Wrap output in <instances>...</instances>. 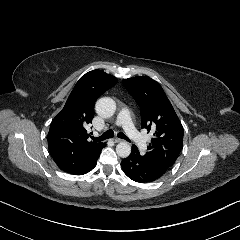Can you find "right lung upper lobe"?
<instances>
[{
    "instance_id": "right-lung-upper-lobe-1",
    "label": "right lung upper lobe",
    "mask_w": 240,
    "mask_h": 240,
    "mask_svg": "<svg viewBox=\"0 0 240 240\" xmlns=\"http://www.w3.org/2000/svg\"><path fill=\"white\" fill-rule=\"evenodd\" d=\"M116 83L114 76L101 70L86 73L53 119L48 133V148L61 170L79 174L98 159L106 143L90 141L86 128L94 117L96 99Z\"/></svg>"
}]
</instances>
